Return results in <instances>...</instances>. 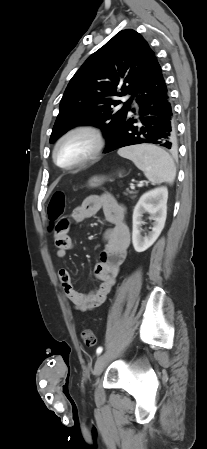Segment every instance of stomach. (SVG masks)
<instances>
[{"mask_svg": "<svg viewBox=\"0 0 207 449\" xmlns=\"http://www.w3.org/2000/svg\"><path fill=\"white\" fill-rule=\"evenodd\" d=\"M119 176L122 177V174L119 173ZM106 181H107V178H106V177H103V176H94V177H92V178L89 179L88 185H89L90 187H93V188H94V187L101 186V185L104 184Z\"/></svg>", "mask_w": 207, "mask_h": 449, "instance_id": "stomach-1", "label": "stomach"}]
</instances>
